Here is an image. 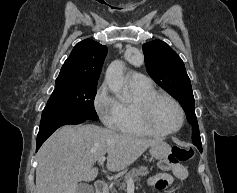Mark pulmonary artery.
<instances>
[{"instance_id":"e3ab8cb5","label":"pulmonary artery","mask_w":237,"mask_h":193,"mask_svg":"<svg viewBox=\"0 0 237 193\" xmlns=\"http://www.w3.org/2000/svg\"><path fill=\"white\" fill-rule=\"evenodd\" d=\"M129 81H130V83L136 84V85H146V84L151 83L150 79L141 73L130 74Z\"/></svg>"}]
</instances>
